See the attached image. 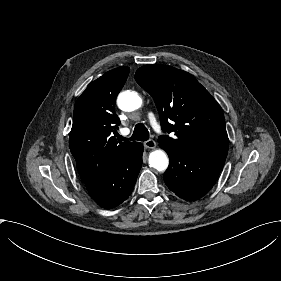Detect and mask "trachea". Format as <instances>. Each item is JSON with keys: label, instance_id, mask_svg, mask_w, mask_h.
<instances>
[{"label": "trachea", "instance_id": "obj_1", "mask_svg": "<svg viewBox=\"0 0 281 281\" xmlns=\"http://www.w3.org/2000/svg\"><path fill=\"white\" fill-rule=\"evenodd\" d=\"M149 139V132L143 124H137L133 131V134L130 138L119 136L118 140H138V141H147Z\"/></svg>", "mask_w": 281, "mask_h": 281}]
</instances>
